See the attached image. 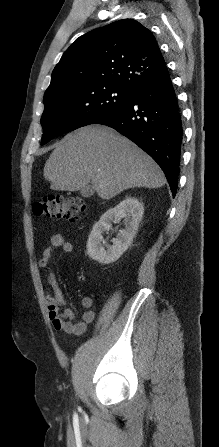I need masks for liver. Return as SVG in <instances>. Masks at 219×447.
<instances>
[{"mask_svg":"<svg viewBox=\"0 0 219 447\" xmlns=\"http://www.w3.org/2000/svg\"><path fill=\"white\" fill-rule=\"evenodd\" d=\"M43 175L56 191H78L91 183L104 200L129 188H159L166 183L163 171L149 155L101 125L67 134L46 161Z\"/></svg>","mask_w":219,"mask_h":447,"instance_id":"liver-1","label":"liver"}]
</instances>
